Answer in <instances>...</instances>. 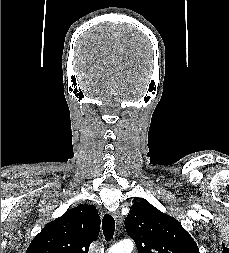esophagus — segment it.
Returning a JSON list of instances; mask_svg holds the SVG:
<instances>
[{
  "label": "esophagus",
  "instance_id": "obj_1",
  "mask_svg": "<svg viewBox=\"0 0 229 253\" xmlns=\"http://www.w3.org/2000/svg\"><path fill=\"white\" fill-rule=\"evenodd\" d=\"M113 217L115 218V220L118 224H121L122 218H121V215L118 211L113 212Z\"/></svg>",
  "mask_w": 229,
  "mask_h": 253
}]
</instances>
